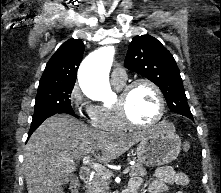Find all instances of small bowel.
Masks as SVG:
<instances>
[{"label":"small bowel","mask_w":221,"mask_h":193,"mask_svg":"<svg viewBox=\"0 0 221 193\" xmlns=\"http://www.w3.org/2000/svg\"><path fill=\"white\" fill-rule=\"evenodd\" d=\"M188 184L189 178L186 173L175 172L171 167L161 166L156 168L152 181L146 187V192L166 193L172 185H176L180 189L174 193H184V189ZM142 185L143 179L137 176L130 180L128 188L133 189L135 193H138Z\"/></svg>","instance_id":"obj_1"}]
</instances>
